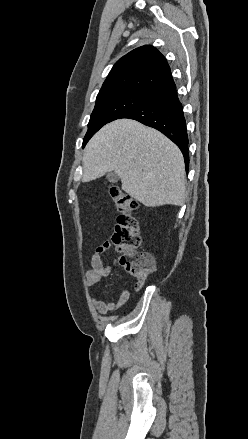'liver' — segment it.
Segmentation results:
<instances>
[{"instance_id": "6515ba94", "label": "liver", "mask_w": 248, "mask_h": 439, "mask_svg": "<svg viewBox=\"0 0 248 439\" xmlns=\"http://www.w3.org/2000/svg\"><path fill=\"white\" fill-rule=\"evenodd\" d=\"M82 182L114 171L122 189L147 207L182 206L185 165L179 148L159 131L131 119L102 127L88 142Z\"/></svg>"}]
</instances>
